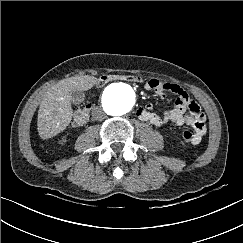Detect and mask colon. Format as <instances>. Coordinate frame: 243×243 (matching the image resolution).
Masks as SVG:
<instances>
[{"label":"colon","mask_w":243,"mask_h":243,"mask_svg":"<svg viewBox=\"0 0 243 243\" xmlns=\"http://www.w3.org/2000/svg\"><path fill=\"white\" fill-rule=\"evenodd\" d=\"M117 79H122V80H127V81H132V82H140L141 78L139 76H135V75H118V74H109V75H103L98 79V85L99 86H103L113 80H117ZM91 105H86L80 109H78L73 117V122L76 125H82L84 124L88 118H89V114L91 111ZM183 139L186 142H192L194 139V134L193 132L190 131H185L183 133Z\"/></svg>","instance_id":"obj_1"}]
</instances>
